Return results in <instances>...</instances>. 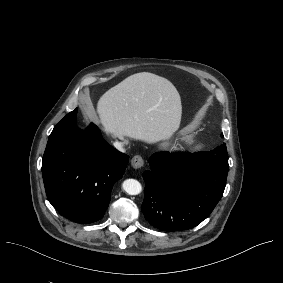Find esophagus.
<instances>
[{
  "instance_id": "34e87169",
  "label": "esophagus",
  "mask_w": 283,
  "mask_h": 283,
  "mask_svg": "<svg viewBox=\"0 0 283 283\" xmlns=\"http://www.w3.org/2000/svg\"><path fill=\"white\" fill-rule=\"evenodd\" d=\"M131 165L135 169H140L144 166V160L141 156L136 155L131 159Z\"/></svg>"
}]
</instances>
